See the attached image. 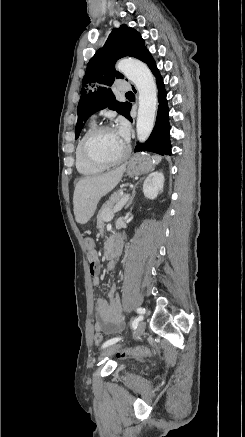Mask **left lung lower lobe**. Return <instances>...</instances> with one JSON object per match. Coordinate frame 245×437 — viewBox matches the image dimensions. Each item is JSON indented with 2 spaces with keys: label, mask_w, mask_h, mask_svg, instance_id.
Wrapping results in <instances>:
<instances>
[{
  "label": "left lung lower lobe",
  "mask_w": 245,
  "mask_h": 437,
  "mask_svg": "<svg viewBox=\"0 0 245 437\" xmlns=\"http://www.w3.org/2000/svg\"><path fill=\"white\" fill-rule=\"evenodd\" d=\"M141 61L145 62L151 69L152 73L156 77V83L158 87V113L156 118V124L153 131L145 143H138L135 147L134 152H154L160 155L166 154L171 155V144H170V126H169V109L166 100V91L163 83V79L156 67L155 61L151 54L147 51L140 58ZM131 106L129 107V112L126 116L127 119L132 121L130 117Z\"/></svg>",
  "instance_id": "obj_1"
}]
</instances>
